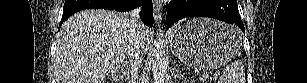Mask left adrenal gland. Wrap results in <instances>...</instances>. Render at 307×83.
Here are the masks:
<instances>
[{
    "label": "left adrenal gland",
    "mask_w": 307,
    "mask_h": 83,
    "mask_svg": "<svg viewBox=\"0 0 307 83\" xmlns=\"http://www.w3.org/2000/svg\"><path fill=\"white\" fill-rule=\"evenodd\" d=\"M171 75L173 76V78H183V75L181 74V72H179V70H177L176 68H172L171 70Z\"/></svg>",
    "instance_id": "left-adrenal-gland-1"
}]
</instances>
